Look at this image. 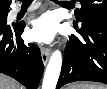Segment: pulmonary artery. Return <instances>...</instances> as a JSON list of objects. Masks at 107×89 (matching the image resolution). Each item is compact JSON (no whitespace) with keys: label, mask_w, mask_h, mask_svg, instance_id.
Wrapping results in <instances>:
<instances>
[{"label":"pulmonary artery","mask_w":107,"mask_h":89,"mask_svg":"<svg viewBox=\"0 0 107 89\" xmlns=\"http://www.w3.org/2000/svg\"><path fill=\"white\" fill-rule=\"evenodd\" d=\"M37 7H38V4H34V5L30 6V7L27 9V11H28V12L33 11V10L36 9ZM19 12H20L19 9H15V10L12 11L11 15L14 17V16H16Z\"/></svg>","instance_id":"obj_1"}]
</instances>
